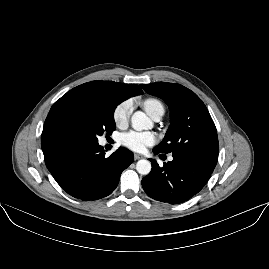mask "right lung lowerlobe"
I'll list each match as a JSON object with an SVG mask.
<instances>
[{
    "label": "right lung lower lobe",
    "mask_w": 269,
    "mask_h": 269,
    "mask_svg": "<svg viewBox=\"0 0 269 269\" xmlns=\"http://www.w3.org/2000/svg\"><path fill=\"white\" fill-rule=\"evenodd\" d=\"M41 146L46 166L56 182L65 192L83 201L111 194L121 173L134 159L133 153L123 147L106 157L98 141H81L58 127L43 129Z\"/></svg>",
    "instance_id": "1"
}]
</instances>
